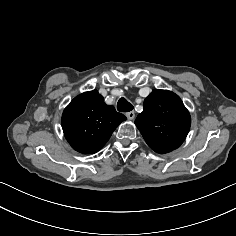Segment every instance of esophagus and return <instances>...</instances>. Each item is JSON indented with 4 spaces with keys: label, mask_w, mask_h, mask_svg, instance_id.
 <instances>
[{
    "label": "esophagus",
    "mask_w": 236,
    "mask_h": 236,
    "mask_svg": "<svg viewBox=\"0 0 236 236\" xmlns=\"http://www.w3.org/2000/svg\"><path fill=\"white\" fill-rule=\"evenodd\" d=\"M126 117H127L129 120H133L134 117H135L134 111L127 112V113H126Z\"/></svg>",
    "instance_id": "1"
}]
</instances>
